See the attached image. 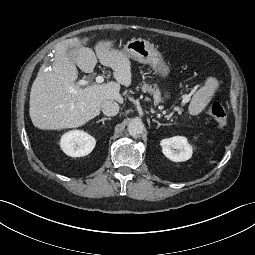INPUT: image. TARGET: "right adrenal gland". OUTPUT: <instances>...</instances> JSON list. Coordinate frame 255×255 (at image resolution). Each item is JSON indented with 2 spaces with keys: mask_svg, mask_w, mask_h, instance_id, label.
<instances>
[{
  "mask_svg": "<svg viewBox=\"0 0 255 255\" xmlns=\"http://www.w3.org/2000/svg\"><path fill=\"white\" fill-rule=\"evenodd\" d=\"M106 120H111V118L104 117V118L98 120L97 123L102 122V124L104 125V123H105Z\"/></svg>",
  "mask_w": 255,
  "mask_h": 255,
  "instance_id": "2a0ac1e0",
  "label": "right adrenal gland"
}]
</instances>
